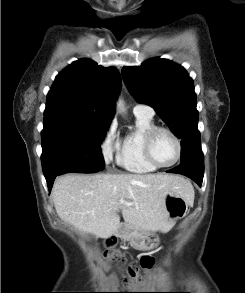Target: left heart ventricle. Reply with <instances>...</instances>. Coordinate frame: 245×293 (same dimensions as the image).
Wrapping results in <instances>:
<instances>
[{
	"instance_id": "obj_1",
	"label": "left heart ventricle",
	"mask_w": 245,
	"mask_h": 293,
	"mask_svg": "<svg viewBox=\"0 0 245 293\" xmlns=\"http://www.w3.org/2000/svg\"><path fill=\"white\" fill-rule=\"evenodd\" d=\"M152 153L160 164H168L176 157L177 147L168 133L159 132L154 138Z\"/></svg>"
}]
</instances>
